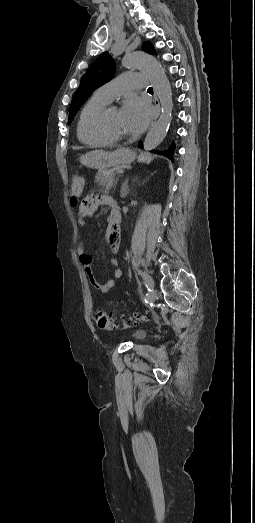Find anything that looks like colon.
<instances>
[{
    "instance_id": "colon-1",
    "label": "colon",
    "mask_w": 255,
    "mask_h": 523,
    "mask_svg": "<svg viewBox=\"0 0 255 523\" xmlns=\"http://www.w3.org/2000/svg\"><path fill=\"white\" fill-rule=\"evenodd\" d=\"M85 180L80 175H75L71 181L70 201L73 206H77L84 192ZM84 202V201H83ZM135 322L146 319L145 315H135L132 317ZM95 321L99 328L103 330H112L116 327L113 317L104 309H98L95 312Z\"/></svg>"
}]
</instances>
